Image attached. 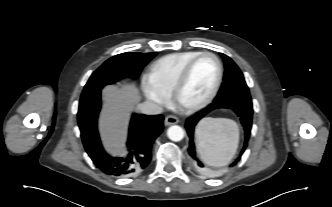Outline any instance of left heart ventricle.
<instances>
[{"mask_svg":"<svg viewBox=\"0 0 332 207\" xmlns=\"http://www.w3.org/2000/svg\"><path fill=\"white\" fill-rule=\"evenodd\" d=\"M217 77V64L210 56L199 59L190 74L182 92L181 100L185 104H195L203 100L212 90Z\"/></svg>","mask_w":332,"mask_h":207,"instance_id":"1","label":"left heart ventricle"}]
</instances>
